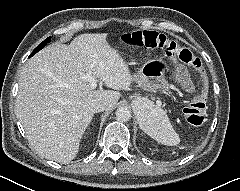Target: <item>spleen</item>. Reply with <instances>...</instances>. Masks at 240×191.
I'll list each match as a JSON object with an SVG mask.
<instances>
[{
  "instance_id": "1",
  "label": "spleen",
  "mask_w": 240,
  "mask_h": 191,
  "mask_svg": "<svg viewBox=\"0 0 240 191\" xmlns=\"http://www.w3.org/2000/svg\"><path fill=\"white\" fill-rule=\"evenodd\" d=\"M140 127L158 143L175 146L180 142L167 114L162 109H156L152 104L146 108Z\"/></svg>"
}]
</instances>
